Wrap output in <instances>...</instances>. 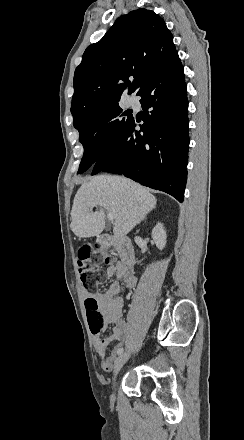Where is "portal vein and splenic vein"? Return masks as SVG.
I'll return each mask as SVG.
<instances>
[{
	"label": "portal vein and splenic vein",
	"mask_w": 244,
	"mask_h": 440,
	"mask_svg": "<svg viewBox=\"0 0 244 440\" xmlns=\"http://www.w3.org/2000/svg\"><path fill=\"white\" fill-rule=\"evenodd\" d=\"M89 210H91V208H89ZM107 218L110 222H114V214H107Z\"/></svg>",
	"instance_id": "portal-vein-and-splenic-vein-1"
}]
</instances>
